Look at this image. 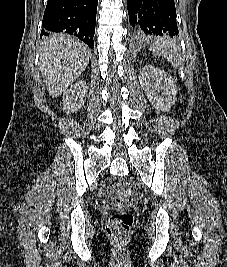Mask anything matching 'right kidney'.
Wrapping results in <instances>:
<instances>
[{
	"label": "right kidney",
	"instance_id": "1",
	"mask_svg": "<svg viewBox=\"0 0 227 267\" xmlns=\"http://www.w3.org/2000/svg\"><path fill=\"white\" fill-rule=\"evenodd\" d=\"M87 90L88 87L84 80L71 85L63 96V110L67 113L78 111L85 102Z\"/></svg>",
	"mask_w": 227,
	"mask_h": 267
}]
</instances>
